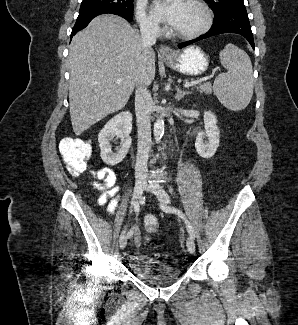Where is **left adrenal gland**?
<instances>
[{
	"instance_id": "obj_1",
	"label": "left adrenal gland",
	"mask_w": 298,
	"mask_h": 325,
	"mask_svg": "<svg viewBox=\"0 0 298 325\" xmlns=\"http://www.w3.org/2000/svg\"><path fill=\"white\" fill-rule=\"evenodd\" d=\"M185 94H191V90H181L180 86H176L175 98H177V100H181Z\"/></svg>"
}]
</instances>
